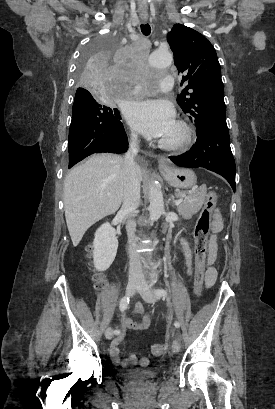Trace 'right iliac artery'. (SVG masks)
I'll return each mask as SVG.
<instances>
[{"label": "right iliac artery", "instance_id": "right-iliac-artery-1", "mask_svg": "<svg viewBox=\"0 0 275 409\" xmlns=\"http://www.w3.org/2000/svg\"><path fill=\"white\" fill-rule=\"evenodd\" d=\"M130 301V297L129 296H124L121 300H120V304H119V308L121 312H124L129 304ZM115 333H119V331H115Z\"/></svg>", "mask_w": 275, "mask_h": 409}]
</instances>
